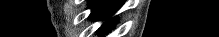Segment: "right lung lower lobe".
Listing matches in <instances>:
<instances>
[{"mask_svg": "<svg viewBox=\"0 0 219 37\" xmlns=\"http://www.w3.org/2000/svg\"><path fill=\"white\" fill-rule=\"evenodd\" d=\"M123 4V0H90L88 5L92 9L90 18L96 19H108L107 22L101 27L100 33H104L114 27L115 20L110 16L114 14L116 10Z\"/></svg>", "mask_w": 219, "mask_h": 37, "instance_id": "1", "label": "right lung lower lobe"}]
</instances>
